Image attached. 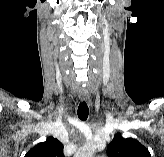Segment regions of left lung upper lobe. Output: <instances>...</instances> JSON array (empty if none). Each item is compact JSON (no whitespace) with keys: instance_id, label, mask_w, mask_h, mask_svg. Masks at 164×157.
I'll use <instances>...</instances> for the list:
<instances>
[{"instance_id":"5c2ea615","label":"left lung upper lobe","mask_w":164,"mask_h":157,"mask_svg":"<svg viewBox=\"0 0 164 157\" xmlns=\"http://www.w3.org/2000/svg\"><path fill=\"white\" fill-rule=\"evenodd\" d=\"M108 157H151L147 148L133 138L115 135L107 148Z\"/></svg>"}]
</instances>
